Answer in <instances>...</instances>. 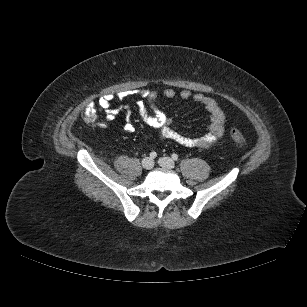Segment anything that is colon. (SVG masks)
<instances>
[{
  "mask_svg": "<svg viewBox=\"0 0 307 307\" xmlns=\"http://www.w3.org/2000/svg\"><path fill=\"white\" fill-rule=\"evenodd\" d=\"M83 119L89 123V124H93L96 120V108L92 103H89L84 111H83ZM230 134L231 137L234 141V143L238 146V147H245L246 145V139L244 137V135L242 134V132L236 128V127H232L230 130Z\"/></svg>",
  "mask_w": 307,
  "mask_h": 307,
  "instance_id": "colon-1",
  "label": "colon"
}]
</instances>
